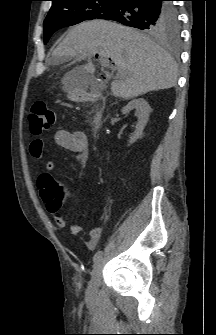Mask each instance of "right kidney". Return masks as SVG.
Listing matches in <instances>:
<instances>
[{
	"instance_id": "obj_1",
	"label": "right kidney",
	"mask_w": 216,
	"mask_h": 335,
	"mask_svg": "<svg viewBox=\"0 0 216 335\" xmlns=\"http://www.w3.org/2000/svg\"><path fill=\"white\" fill-rule=\"evenodd\" d=\"M133 109L136 110L138 122L136 123L133 135L130 137L129 145L137 141V139L142 135L143 129L149 119V115L151 112L149 104L143 98H138L130 101L125 107H123L122 113L127 114Z\"/></svg>"
}]
</instances>
